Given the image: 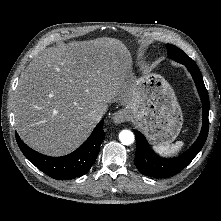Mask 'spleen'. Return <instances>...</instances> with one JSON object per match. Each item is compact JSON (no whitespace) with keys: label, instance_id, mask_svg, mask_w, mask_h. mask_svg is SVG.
Here are the masks:
<instances>
[{"label":"spleen","instance_id":"3e777b00","mask_svg":"<svg viewBox=\"0 0 221 221\" xmlns=\"http://www.w3.org/2000/svg\"><path fill=\"white\" fill-rule=\"evenodd\" d=\"M183 146V141H177L175 144L156 145L153 149L161 156H171L180 151Z\"/></svg>","mask_w":221,"mask_h":221}]
</instances>
